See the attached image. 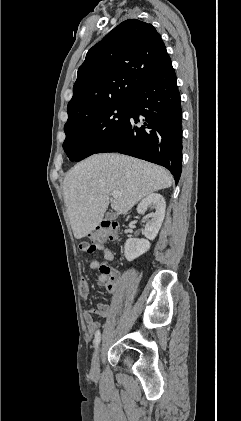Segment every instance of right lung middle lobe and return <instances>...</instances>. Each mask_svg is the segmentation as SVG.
I'll return each instance as SVG.
<instances>
[{
    "label": "right lung middle lobe",
    "mask_w": 241,
    "mask_h": 421,
    "mask_svg": "<svg viewBox=\"0 0 241 421\" xmlns=\"http://www.w3.org/2000/svg\"><path fill=\"white\" fill-rule=\"evenodd\" d=\"M129 102L121 101L96 111L67 127L63 148L71 161L96 153L125 125Z\"/></svg>",
    "instance_id": "1"
}]
</instances>
